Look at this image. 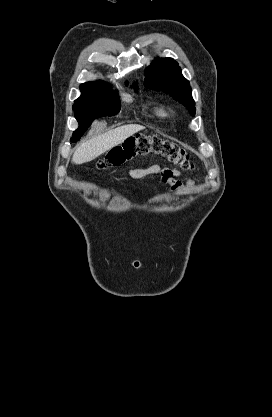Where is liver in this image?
Returning a JSON list of instances; mask_svg holds the SVG:
<instances>
[{
    "instance_id": "6515ba94",
    "label": "liver",
    "mask_w": 272,
    "mask_h": 417,
    "mask_svg": "<svg viewBox=\"0 0 272 417\" xmlns=\"http://www.w3.org/2000/svg\"><path fill=\"white\" fill-rule=\"evenodd\" d=\"M143 129L142 125L129 124L98 135L79 146L73 155L72 161L77 165L92 161Z\"/></svg>"
}]
</instances>
